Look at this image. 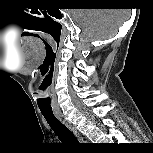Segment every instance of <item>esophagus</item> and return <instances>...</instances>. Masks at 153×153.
I'll return each mask as SVG.
<instances>
[{
	"instance_id": "34e87169",
	"label": "esophagus",
	"mask_w": 153,
	"mask_h": 153,
	"mask_svg": "<svg viewBox=\"0 0 153 153\" xmlns=\"http://www.w3.org/2000/svg\"><path fill=\"white\" fill-rule=\"evenodd\" d=\"M56 116L63 124H65L74 133V135L77 137L80 143L86 142L84 137L79 133V131L74 127V125H72L67 120V118L62 113H56Z\"/></svg>"
}]
</instances>
